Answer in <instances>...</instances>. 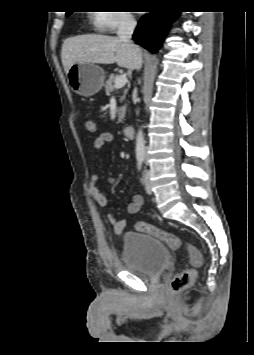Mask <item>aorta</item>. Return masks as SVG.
Segmentation results:
<instances>
[{
	"label": "aorta",
	"instance_id": "1",
	"mask_svg": "<svg viewBox=\"0 0 254 355\" xmlns=\"http://www.w3.org/2000/svg\"><path fill=\"white\" fill-rule=\"evenodd\" d=\"M135 152L137 157H144L146 154L143 131L140 128L136 136Z\"/></svg>",
	"mask_w": 254,
	"mask_h": 355
}]
</instances>
